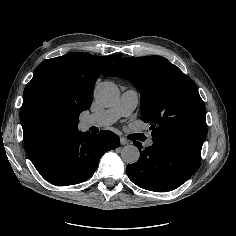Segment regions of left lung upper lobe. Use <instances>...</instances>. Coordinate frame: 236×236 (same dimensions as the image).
Listing matches in <instances>:
<instances>
[{
  "label": "left lung upper lobe",
  "mask_w": 236,
  "mask_h": 236,
  "mask_svg": "<svg viewBox=\"0 0 236 236\" xmlns=\"http://www.w3.org/2000/svg\"><path fill=\"white\" fill-rule=\"evenodd\" d=\"M132 82L141 94V113L152 137L201 151L207 135L205 104L190 77L160 56L127 57L104 73Z\"/></svg>",
  "instance_id": "1"
}]
</instances>
